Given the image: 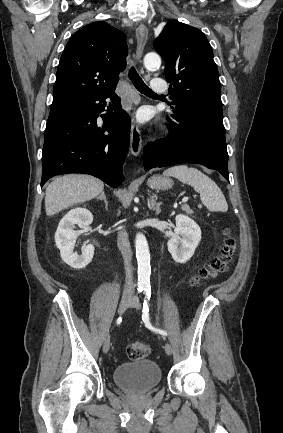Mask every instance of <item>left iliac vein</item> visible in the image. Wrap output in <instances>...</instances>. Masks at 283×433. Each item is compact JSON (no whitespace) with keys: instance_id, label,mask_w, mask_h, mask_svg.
Masks as SVG:
<instances>
[{"instance_id":"1","label":"left iliac vein","mask_w":283,"mask_h":433,"mask_svg":"<svg viewBox=\"0 0 283 433\" xmlns=\"http://www.w3.org/2000/svg\"><path fill=\"white\" fill-rule=\"evenodd\" d=\"M130 306L136 309H141V304L137 298H132ZM164 349L167 355H172V346L170 343H166Z\"/></svg>"}]
</instances>
